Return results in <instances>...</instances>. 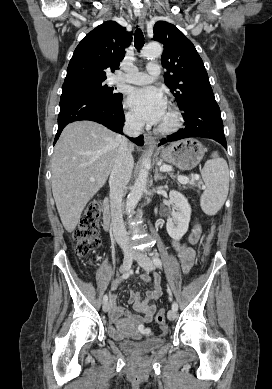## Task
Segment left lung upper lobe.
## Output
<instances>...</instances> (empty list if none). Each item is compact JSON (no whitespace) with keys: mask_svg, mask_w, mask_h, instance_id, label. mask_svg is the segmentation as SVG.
Returning <instances> with one entry per match:
<instances>
[{"mask_svg":"<svg viewBox=\"0 0 272 389\" xmlns=\"http://www.w3.org/2000/svg\"><path fill=\"white\" fill-rule=\"evenodd\" d=\"M154 40L164 45L161 63L167 72L164 81L185 110L196 100L213 95L203 61L193 43L173 24L158 21L154 26Z\"/></svg>","mask_w":272,"mask_h":389,"instance_id":"5c2ea615","label":"left lung upper lobe"}]
</instances>
